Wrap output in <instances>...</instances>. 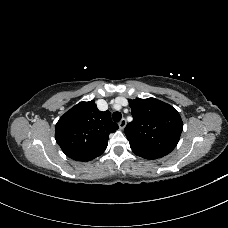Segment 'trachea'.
Here are the masks:
<instances>
[{"mask_svg":"<svg viewBox=\"0 0 228 228\" xmlns=\"http://www.w3.org/2000/svg\"><path fill=\"white\" fill-rule=\"evenodd\" d=\"M113 121L119 122L122 118V114L120 112H114L112 115Z\"/></svg>","mask_w":228,"mask_h":228,"instance_id":"obj_1","label":"trachea"}]
</instances>
